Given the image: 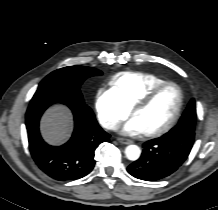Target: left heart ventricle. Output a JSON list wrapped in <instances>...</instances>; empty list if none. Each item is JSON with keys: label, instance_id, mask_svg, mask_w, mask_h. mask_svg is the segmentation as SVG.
I'll return each instance as SVG.
<instances>
[{"label": "left heart ventricle", "instance_id": "b2bd125f", "mask_svg": "<svg viewBox=\"0 0 218 210\" xmlns=\"http://www.w3.org/2000/svg\"><path fill=\"white\" fill-rule=\"evenodd\" d=\"M179 101L176 87H165L145 108L137 110L134 117L140 123L143 132L157 130L166 125L174 115Z\"/></svg>", "mask_w": 218, "mask_h": 210}]
</instances>
